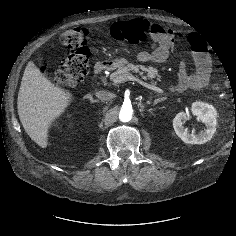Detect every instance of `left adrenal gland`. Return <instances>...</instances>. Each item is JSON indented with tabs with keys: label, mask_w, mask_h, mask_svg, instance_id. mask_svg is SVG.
I'll return each instance as SVG.
<instances>
[{
	"label": "left adrenal gland",
	"mask_w": 236,
	"mask_h": 236,
	"mask_svg": "<svg viewBox=\"0 0 236 236\" xmlns=\"http://www.w3.org/2000/svg\"><path fill=\"white\" fill-rule=\"evenodd\" d=\"M166 99H167V97H162V98H159V99H155L153 105H156L157 103L162 102ZM148 103H150V102H148Z\"/></svg>",
	"instance_id": "left-adrenal-gland-1"
}]
</instances>
